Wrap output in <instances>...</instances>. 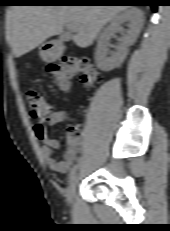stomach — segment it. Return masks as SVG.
<instances>
[{"label":"stomach","mask_w":170,"mask_h":231,"mask_svg":"<svg viewBox=\"0 0 170 231\" xmlns=\"http://www.w3.org/2000/svg\"><path fill=\"white\" fill-rule=\"evenodd\" d=\"M41 56L46 59L47 58L46 51H41Z\"/></svg>","instance_id":"obj_1"}]
</instances>
